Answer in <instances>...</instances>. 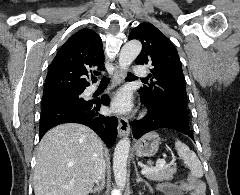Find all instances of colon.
<instances>
[{
    "label": "colon",
    "instance_id": "5ec220e1",
    "mask_svg": "<svg viewBox=\"0 0 240 195\" xmlns=\"http://www.w3.org/2000/svg\"><path fill=\"white\" fill-rule=\"evenodd\" d=\"M186 183H190V186L193 187L194 190H197L198 192L202 191V180H197L195 177H191V173H186Z\"/></svg>",
    "mask_w": 240,
    "mask_h": 195
}]
</instances>
